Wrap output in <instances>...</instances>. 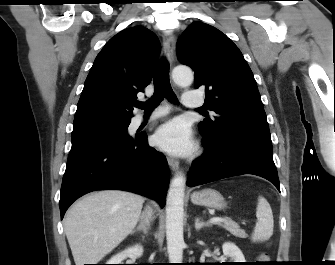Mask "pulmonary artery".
Here are the masks:
<instances>
[{
  "mask_svg": "<svg viewBox=\"0 0 335 265\" xmlns=\"http://www.w3.org/2000/svg\"><path fill=\"white\" fill-rule=\"evenodd\" d=\"M183 105L186 108H199L203 104V98L198 91H188L183 95ZM167 112V109H158L154 111L148 119H145L143 116H137L135 123L140 125L146 120H154L163 116Z\"/></svg>",
  "mask_w": 335,
  "mask_h": 265,
  "instance_id": "1",
  "label": "pulmonary artery"
}]
</instances>
